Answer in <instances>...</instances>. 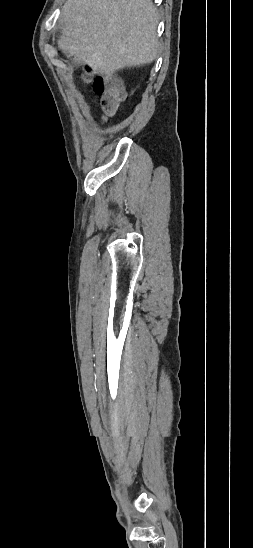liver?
I'll return each instance as SVG.
<instances>
[{
  "label": "liver",
  "mask_w": 253,
  "mask_h": 548,
  "mask_svg": "<svg viewBox=\"0 0 253 548\" xmlns=\"http://www.w3.org/2000/svg\"><path fill=\"white\" fill-rule=\"evenodd\" d=\"M61 21L63 50L95 73L112 76L158 56L151 0H67Z\"/></svg>",
  "instance_id": "obj_1"
}]
</instances>
